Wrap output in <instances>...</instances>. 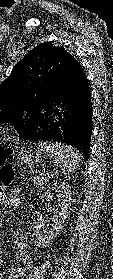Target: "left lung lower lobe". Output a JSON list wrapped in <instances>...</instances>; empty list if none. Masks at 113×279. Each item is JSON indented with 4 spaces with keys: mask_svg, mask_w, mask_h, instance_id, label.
Returning a JSON list of instances; mask_svg holds the SVG:
<instances>
[{
    "mask_svg": "<svg viewBox=\"0 0 113 279\" xmlns=\"http://www.w3.org/2000/svg\"><path fill=\"white\" fill-rule=\"evenodd\" d=\"M92 135V103L87 77L71 56L44 92L22 141L57 142L77 148L88 160Z\"/></svg>",
    "mask_w": 113,
    "mask_h": 279,
    "instance_id": "1",
    "label": "left lung lower lobe"
}]
</instances>
